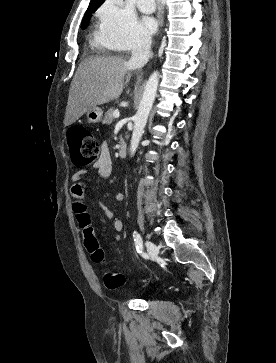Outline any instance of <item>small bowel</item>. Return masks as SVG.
<instances>
[{
	"instance_id": "c3829d8e",
	"label": "small bowel",
	"mask_w": 276,
	"mask_h": 363,
	"mask_svg": "<svg viewBox=\"0 0 276 363\" xmlns=\"http://www.w3.org/2000/svg\"><path fill=\"white\" fill-rule=\"evenodd\" d=\"M93 167L98 171L99 175L102 178H109L113 172V162L110 153V149L107 143H103L101 145V152L99 158L96 162H94ZM87 169H82L77 171L72 175V186L70 188V196L74 202V212L77 214L80 222V217L82 215L88 216V226H81L83 238L89 234L93 233L95 235V231L93 226L90 224L89 214L87 212V206L85 203L86 191H87V182L85 180V175L87 173ZM125 200V196L123 193H117L115 195V201L118 203H122ZM101 210L104 215L113 220V227L117 232H121L124 228V224L120 218H118L115 213L110 210L107 206L101 205ZM115 240H120V235L115 237Z\"/></svg>"
}]
</instances>
